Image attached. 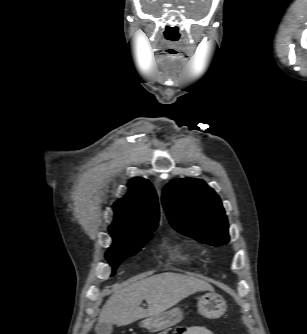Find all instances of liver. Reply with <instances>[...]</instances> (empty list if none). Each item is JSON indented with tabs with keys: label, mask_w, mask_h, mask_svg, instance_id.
I'll list each match as a JSON object with an SVG mask.
<instances>
[{
	"label": "liver",
	"mask_w": 307,
	"mask_h": 334,
	"mask_svg": "<svg viewBox=\"0 0 307 334\" xmlns=\"http://www.w3.org/2000/svg\"><path fill=\"white\" fill-rule=\"evenodd\" d=\"M198 291H214L207 282L179 273H161L118 289L105 303L98 321L119 326L160 314ZM146 300L148 308L140 307Z\"/></svg>",
	"instance_id": "1"
}]
</instances>
